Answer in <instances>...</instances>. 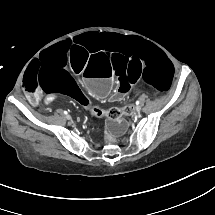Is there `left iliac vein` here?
<instances>
[{
  "instance_id": "4c4485c4",
  "label": "left iliac vein",
  "mask_w": 215,
  "mask_h": 215,
  "mask_svg": "<svg viewBox=\"0 0 215 215\" xmlns=\"http://www.w3.org/2000/svg\"><path fill=\"white\" fill-rule=\"evenodd\" d=\"M141 108L140 107H136V112H140Z\"/></svg>"
}]
</instances>
